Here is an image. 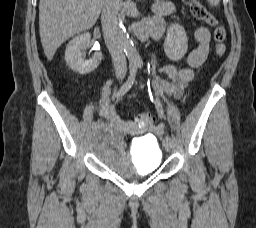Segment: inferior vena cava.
I'll list each match as a JSON object with an SVG mask.
<instances>
[{
	"instance_id": "1",
	"label": "inferior vena cava",
	"mask_w": 256,
	"mask_h": 228,
	"mask_svg": "<svg viewBox=\"0 0 256 228\" xmlns=\"http://www.w3.org/2000/svg\"><path fill=\"white\" fill-rule=\"evenodd\" d=\"M103 5L101 22L104 40L112 55L116 75L125 76L127 63L119 34V9L121 0H104Z\"/></svg>"
}]
</instances>
